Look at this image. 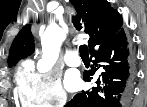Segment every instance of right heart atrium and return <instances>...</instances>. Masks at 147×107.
<instances>
[{
	"mask_svg": "<svg viewBox=\"0 0 147 107\" xmlns=\"http://www.w3.org/2000/svg\"><path fill=\"white\" fill-rule=\"evenodd\" d=\"M17 80L23 105L56 107L64 105L68 99L59 75L53 71L41 73L28 65L19 70Z\"/></svg>",
	"mask_w": 147,
	"mask_h": 107,
	"instance_id": "d8ad5b80",
	"label": "right heart atrium"
}]
</instances>
